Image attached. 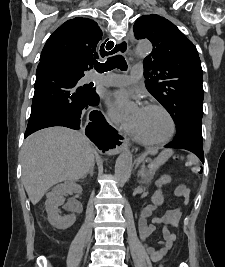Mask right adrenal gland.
I'll return each mask as SVG.
<instances>
[{
	"mask_svg": "<svg viewBox=\"0 0 225 267\" xmlns=\"http://www.w3.org/2000/svg\"><path fill=\"white\" fill-rule=\"evenodd\" d=\"M94 166H95V162L93 163V165L91 166V168L89 169V171L86 173V175L84 176V178H86L88 174H89L90 176H93V173H94Z\"/></svg>",
	"mask_w": 225,
	"mask_h": 267,
	"instance_id": "2a0ac1e0",
	"label": "right adrenal gland"
}]
</instances>
